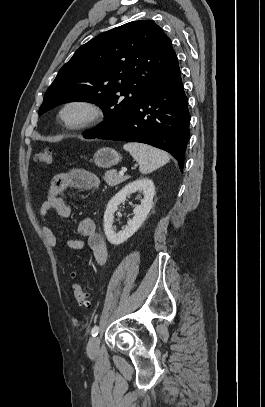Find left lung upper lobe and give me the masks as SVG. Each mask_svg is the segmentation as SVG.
I'll list each match as a JSON object with an SVG mask.
<instances>
[{
    "instance_id": "obj_1",
    "label": "left lung upper lobe",
    "mask_w": 265,
    "mask_h": 407,
    "mask_svg": "<svg viewBox=\"0 0 265 407\" xmlns=\"http://www.w3.org/2000/svg\"><path fill=\"white\" fill-rule=\"evenodd\" d=\"M179 70L170 38L152 20L102 33L76 50L45 93L39 115L57 105L87 101L103 109L91 139L123 121L161 81Z\"/></svg>"
}]
</instances>
